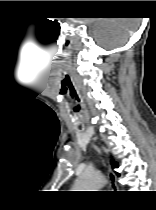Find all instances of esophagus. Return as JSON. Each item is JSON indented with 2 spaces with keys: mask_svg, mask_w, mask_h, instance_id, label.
I'll return each instance as SVG.
<instances>
[{
  "mask_svg": "<svg viewBox=\"0 0 156 210\" xmlns=\"http://www.w3.org/2000/svg\"><path fill=\"white\" fill-rule=\"evenodd\" d=\"M109 178V190L114 191L117 188L116 177L113 173H108Z\"/></svg>",
  "mask_w": 156,
  "mask_h": 210,
  "instance_id": "esophagus-1",
  "label": "esophagus"
}]
</instances>
